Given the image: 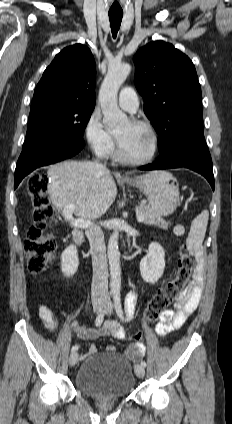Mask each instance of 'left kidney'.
Wrapping results in <instances>:
<instances>
[{"mask_svg": "<svg viewBox=\"0 0 232 424\" xmlns=\"http://www.w3.org/2000/svg\"><path fill=\"white\" fill-rule=\"evenodd\" d=\"M165 251L158 243L149 245L148 254L140 262V273L144 281L154 284L163 275Z\"/></svg>", "mask_w": 232, "mask_h": 424, "instance_id": "1", "label": "left kidney"}]
</instances>
